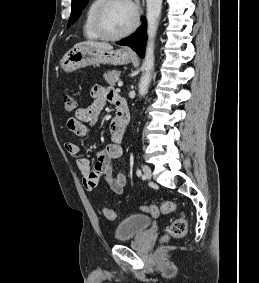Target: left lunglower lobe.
Listing matches in <instances>:
<instances>
[{
  "instance_id": "0a47b994",
  "label": "left lung lower lobe",
  "mask_w": 259,
  "mask_h": 283,
  "mask_svg": "<svg viewBox=\"0 0 259 283\" xmlns=\"http://www.w3.org/2000/svg\"><path fill=\"white\" fill-rule=\"evenodd\" d=\"M146 22L130 37L117 42L118 45H127L131 47L140 57H144L146 44Z\"/></svg>"
}]
</instances>
